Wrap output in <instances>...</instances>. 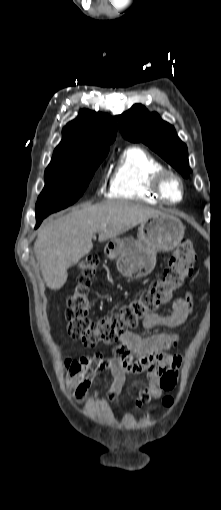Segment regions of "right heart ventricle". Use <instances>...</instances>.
I'll return each mask as SVG.
<instances>
[{
  "mask_svg": "<svg viewBox=\"0 0 221 510\" xmlns=\"http://www.w3.org/2000/svg\"><path fill=\"white\" fill-rule=\"evenodd\" d=\"M163 169H166L164 164L147 150L127 147L112 170L107 197L156 204L159 200L151 191V181Z\"/></svg>",
  "mask_w": 221,
  "mask_h": 510,
  "instance_id": "right-heart-ventricle-1",
  "label": "right heart ventricle"
}]
</instances>
